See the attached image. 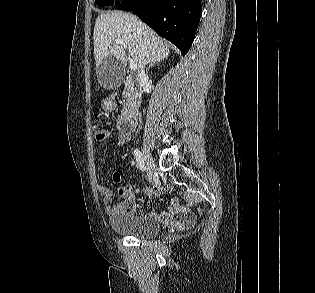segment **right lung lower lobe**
<instances>
[{
    "label": "right lung lower lobe",
    "instance_id": "obj_1",
    "mask_svg": "<svg viewBox=\"0 0 315 293\" xmlns=\"http://www.w3.org/2000/svg\"><path fill=\"white\" fill-rule=\"evenodd\" d=\"M115 8L135 13L183 55L191 47L202 14L201 0H123Z\"/></svg>",
    "mask_w": 315,
    "mask_h": 293
}]
</instances>
